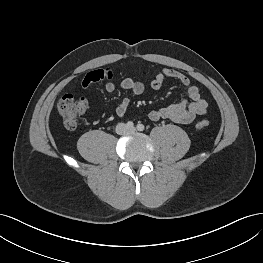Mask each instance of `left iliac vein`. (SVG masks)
<instances>
[{
    "label": "left iliac vein",
    "mask_w": 263,
    "mask_h": 263,
    "mask_svg": "<svg viewBox=\"0 0 263 263\" xmlns=\"http://www.w3.org/2000/svg\"><path fill=\"white\" fill-rule=\"evenodd\" d=\"M136 129L133 127V128H129V131L131 132H134Z\"/></svg>",
    "instance_id": "1"
}]
</instances>
